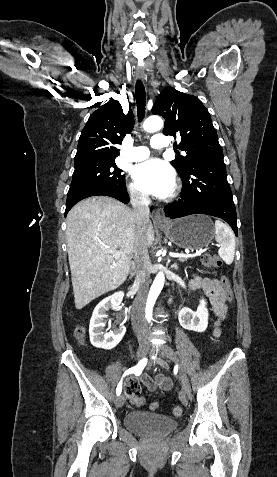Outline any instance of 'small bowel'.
Masks as SVG:
<instances>
[{
	"label": "small bowel",
	"mask_w": 277,
	"mask_h": 477,
	"mask_svg": "<svg viewBox=\"0 0 277 477\" xmlns=\"http://www.w3.org/2000/svg\"><path fill=\"white\" fill-rule=\"evenodd\" d=\"M190 288L192 290L203 289L210 299L212 305L213 313L215 315V322L212 331L213 338H217L220 334V322L226 314V302H225V292L223 291V286L220 281L211 278H201L199 276L194 277L190 281ZM140 381L147 387L150 391H155L157 389L169 390L172 386L170 378L157 374L154 378L143 373L140 375ZM129 382L136 383L139 387L140 385L136 380H130Z\"/></svg>",
	"instance_id": "c3829d8e"
}]
</instances>
